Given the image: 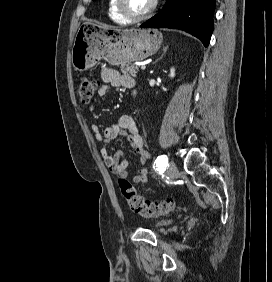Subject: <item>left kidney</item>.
Returning <instances> with one entry per match:
<instances>
[{"mask_svg":"<svg viewBox=\"0 0 272 282\" xmlns=\"http://www.w3.org/2000/svg\"><path fill=\"white\" fill-rule=\"evenodd\" d=\"M171 78H173L175 76V69L174 68H171L170 70V75H169Z\"/></svg>","mask_w":272,"mask_h":282,"instance_id":"obj_1","label":"left kidney"}]
</instances>
